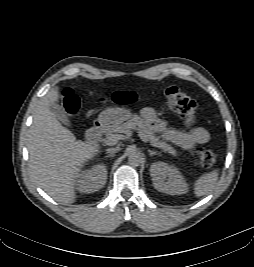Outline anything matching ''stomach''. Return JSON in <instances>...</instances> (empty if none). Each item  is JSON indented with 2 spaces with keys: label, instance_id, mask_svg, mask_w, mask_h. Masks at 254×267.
I'll list each match as a JSON object with an SVG mask.
<instances>
[{
  "label": "stomach",
  "instance_id": "stomach-1",
  "mask_svg": "<svg viewBox=\"0 0 254 267\" xmlns=\"http://www.w3.org/2000/svg\"><path fill=\"white\" fill-rule=\"evenodd\" d=\"M132 113L129 109L125 108H108L99 114L98 122L103 127H110L112 125L121 124L130 119Z\"/></svg>",
  "mask_w": 254,
  "mask_h": 267
}]
</instances>
